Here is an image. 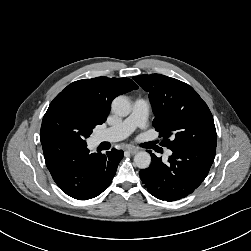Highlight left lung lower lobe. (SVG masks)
<instances>
[{"label": "left lung lower lobe", "mask_w": 251, "mask_h": 251, "mask_svg": "<svg viewBox=\"0 0 251 251\" xmlns=\"http://www.w3.org/2000/svg\"><path fill=\"white\" fill-rule=\"evenodd\" d=\"M168 162L151 153L150 167L139 172L148 192L160 200L175 201L191 194L206 178L216 148L188 146L173 148Z\"/></svg>", "instance_id": "0a47b994"}]
</instances>
